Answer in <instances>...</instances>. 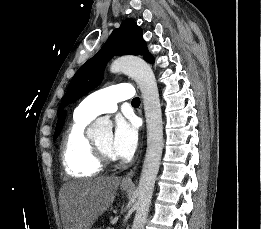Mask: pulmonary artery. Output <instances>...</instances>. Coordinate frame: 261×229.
Wrapping results in <instances>:
<instances>
[{"mask_svg":"<svg viewBox=\"0 0 261 229\" xmlns=\"http://www.w3.org/2000/svg\"><path fill=\"white\" fill-rule=\"evenodd\" d=\"M132 89V85H114L89 94L79 104L85 113L82 116L96 118L104 113L115 112L117 102L133 97Z\"/></svg>","mask_w":261,"mask_h":229,"instance_id":"e3ab8cb5","label":"pulmonary artery"}]
</instances>
